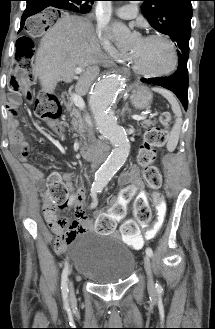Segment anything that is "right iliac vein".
Returning <instances> with one entry per match:
<instances>
[{"instance_id":"1","label":"right iliac vein","mask_w":215,"mask_h":329,"mask_svg":"<svg viewBox=\"0 0 215 329\" xmlns=\"http://www.w3.org/2000/svg\"><path fill=\"white\" fill-rule=\"evenodd\" d=\"M69 294H70V300L73 302L75 299V294H74V287H73V282H69Z\"/></svg>"}]
</instances>
